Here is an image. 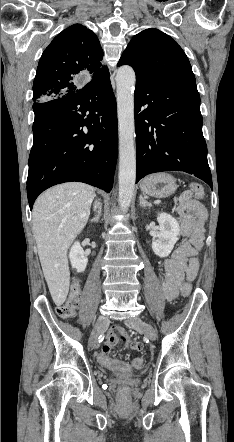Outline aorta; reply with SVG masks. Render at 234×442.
Returning a JSON list of instances; mask_svg holds the SVG:
<instances>
[{
	"mask_svg": "<svg viewBox=\"0 0 234 442\" xmlns=\"http://www.w3.org/2000/svg\"><path fill=\"white\" fill-rule=\"evenodd\" d=\"M135 72L128 65L121 66L116 75L117 113L119 131V205L127 211L136 180V149L134 125Z\"/></svg>",
	"mask_w": 234,
	"mask_h": 442,
	"instance_id": "aorta-1",
	"label": "aorta"
}]
</instances>
